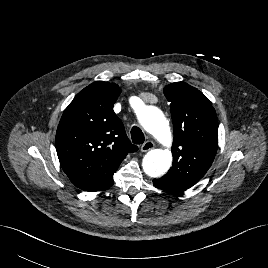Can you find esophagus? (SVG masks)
<instances>
[{
    "mask_svg": "<svg viewBox=\"0 0 268 268\" xmlns=\"http://www.w3.org/2000/svg\"><path fill=\"white\" fill-rule=\"evenodd\" d=\"M154 146H155V144L152 141H146L141 146V152L149 151V150L153 149Z\"/></svg>",
    "mask_w": 268,
    "mask_h": 268,
    "instance_id": "obj_1",
    "label": "esophagus"
}]
</instances>
